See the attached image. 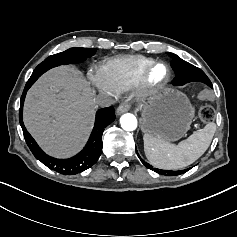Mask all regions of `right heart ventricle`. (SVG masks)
Segmentation results:
<instances>
[{
	"instance_id": "right-heart-ventricle-1",
	"label": "right heart ventricle",
	"mask_w": 237,
	"mask_h": 237,
	"mask_svg": "<svg viewBox=\"0 0 237 237\" xmlns=\"http://www.w3.org/2000/svg\"><path fill=\"white\" fill-rule=\"evenodd\" d=\"M152 62L143 56L116 57L101 65V72L119 92L127 91L138 83L144 69Z\"/></svg>"
}]
</instances>
